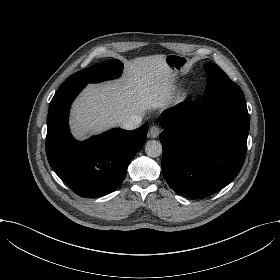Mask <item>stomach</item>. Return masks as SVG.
Here are the masks:
<instances>
[{
	"mask_svg": "<svg viewBox=\"0 0 280 280\" xmlns=\"http://www.w3.org/2000/svg\"><path fill=\"white\" fill-rule=\"evenodd\" d=\"M164 60L166 66L178 76L188 74L191 69L190 59L184 55L168 53Z\"/></svg>",
	"mask_w": 280,
	"mask_h": 280,
	"instance_id": "1",
	"label": "stomach"
}]
</instances>
